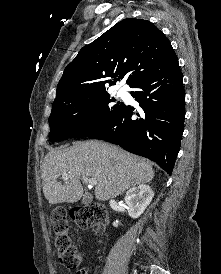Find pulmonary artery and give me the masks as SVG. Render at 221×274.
<instances>
[{
  "mask_svg": "<svg viewBox=\"0 0 221 274\" xmlns=\"http://www.w3.org/2000/svg\"><path fill=\"white\" fill-rule=\"evenodd\" d=\"M119 94H121V95H122V94H124V92H123L122 90H120V91H119Z\"/></svg>",
  "mask_w": 221,
  "mask_h": 274,
  "instance_id": "e3ab8cb5",
  "label": "pulmonary artery"
}]
</instances>
